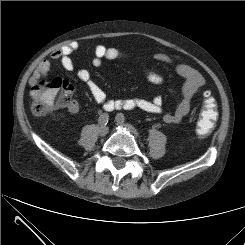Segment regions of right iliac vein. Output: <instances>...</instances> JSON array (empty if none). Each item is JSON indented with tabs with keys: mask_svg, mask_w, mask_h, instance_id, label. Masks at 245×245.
Segmentation results:
<instances>
[{
	"mask_svg": "<svg viewBox=\"0 0 245 245\" xmlns=\"http://www.w3.org/2000/svg\"><path fill=\"white\" fill-rule=\"evenodd\" d=\"M109 128L106 125H101L98 129L100 136H105L108 133Z\"/></svg>",
	"mask_w": 245,
	"mask_h": 245,
	"instance_id": "1",
	"label": "right iliac vein"
}]
</instances>
